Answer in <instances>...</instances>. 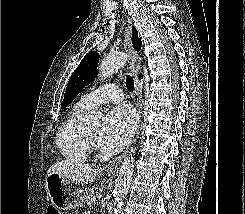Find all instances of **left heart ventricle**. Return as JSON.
<instances>
[{
    "instance_id": "b2bd125f",
    "label": "left heart ventricle",
    "mask_w": 245,
    "mask_h": 214,
    "mask_svg": "<svg viewBox=\"0 0 245 214\" xmlns=\"http://www.w3.org/2000/svg\"><path fill=\"white\" fill-rule=\"evenodd\" d=\"M87 132L89 133V135L96 139L97 137V134H98V128L97 127H94V128H87Z\"/></svg>"
}]
</instances>
